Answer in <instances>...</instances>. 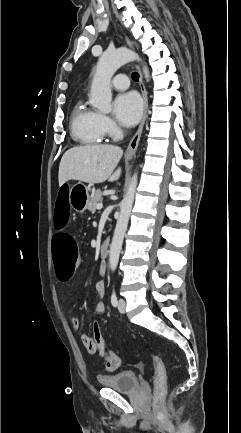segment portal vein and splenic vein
Masks as SVG:
<instances>
[{
	"instance_id": "1",
	"label": "portal vein and splenic vein",
	"mask_w": 241,
	"mask_h": 433,
	"mask_svg": "<svg viewBox=\"0 0 241 433\" xmlns=\"http://www.w3.org/2000/svg\"><path fill=\"white\" fill-rule=\"evenodd\" d=\"M102 207H103V204H102V203H98V204L96 205V208H97L98 210L102 209Z\"/></svg>"
}]
</instances>
